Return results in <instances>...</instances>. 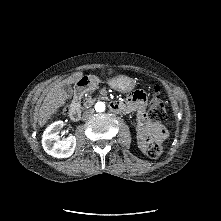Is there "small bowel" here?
Instances as JSON below:
<instances>
[{
  "instance_id": "c3829d8e",
  "label": "small bowel",
  "mask_w": 221,
  "mask_h": 221,
  "mask_svg": "<svg viewBox=\"0 0 221 221\" xmlns=\"http://www.w3.org/2000/svg\"><path fill=\"white\" fill-rule=\"evenodd\" d=\"M127 112H136L137 126L136 134L139 147L146 152L153 142H162L168 136L165 127L158 122H152L147 114L146 96L143 91L135 90L125 103Z\"/></svg>"
}]
</instances>
